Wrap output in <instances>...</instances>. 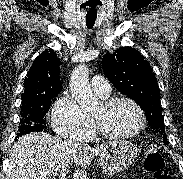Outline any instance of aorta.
Returning a JSON list of instances; mask_svg holds the SVG:
<instances>
[{
    "mask_svg": "<svg viewBox=\"0 0 183 179\" xmlns=\"http://www.w3.org/2000/svg\"><path fill=\"white\" fill-rule=\"evenodd\" d=\"M70 89L82 111L89 112L97 107L98 98L91 90L87 65L80 64L75 67L70 78Z\"/></svg>",
    "mask_w": 183,
    "mask_h": 179,
    "instance_id": "aorta-1",
    "label": "aorta"
}]
</instances>
